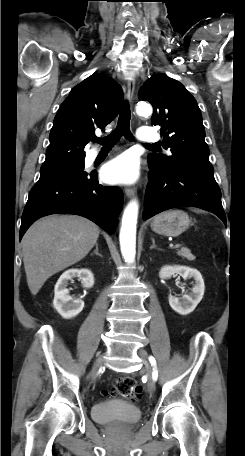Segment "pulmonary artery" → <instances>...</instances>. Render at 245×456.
<instances>
[{"label": "pulmonary artery", "instance_id": "obj_1", "mask_svg": "<svg viewBox=\"0 0 245 456\" xmlns=\"http://www.w3.org/2000/svg\"><path fill=\"white\" fill-rule=\"evenodd\" d=\"M138 139L141 142H156L159 140V134L150 127H141L138 130ZM98 151L93 150L91 152V158H94L97 155Z\"/></svg>", "mask_w": 245, "mask_h": 456}]
</instances>
